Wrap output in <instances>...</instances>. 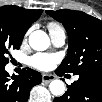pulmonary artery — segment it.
I'll use <instances>...</instances> for the list:
<instances>
[{"instance_id": "pulmonary-artery-1", "label": "pulmonary artery", "mask_w": 102, "mask_h": 102, "mask_svg": "<svg viewBox=\"0 0 102 102\" xmlns=\"http://www.w3.org/2000/svg\"><path fill=\"white\" fill-rule=\"evenodd\" d=\"M50 38H51L52 43L56 47H61L64 45V43L66 41V33L64 30L52 31V32H50Z\"/></svg>"}]
</instances>
